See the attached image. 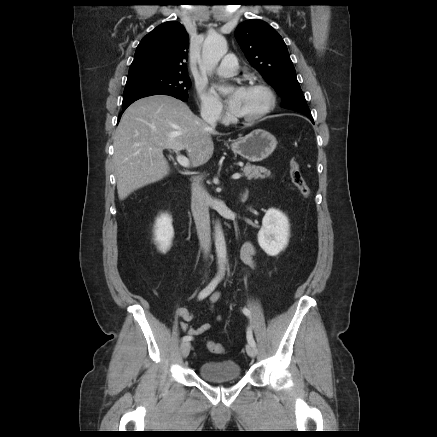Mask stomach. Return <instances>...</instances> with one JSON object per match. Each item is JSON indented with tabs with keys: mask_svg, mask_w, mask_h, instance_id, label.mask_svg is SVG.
I'll list each match as a JSON object with an SVG mask.
<instances>
[{
	"mask_svg": "<svg viewBox=\"0 0 437 437\" xmlns=\"http://www.w3.org/2000/svg\"><path fill=\"white\" fill-rule=\"evenodd\" d=\"M276 146L277 140L271 133L256 129L233 141L231 149L250 162H260L268 158Z\"/></svg>",
	"mask_w": 437,
	"mask_h": 437,
	"instance_id": "0dacf381",
	"label": "stomach"
}]
</instances>
